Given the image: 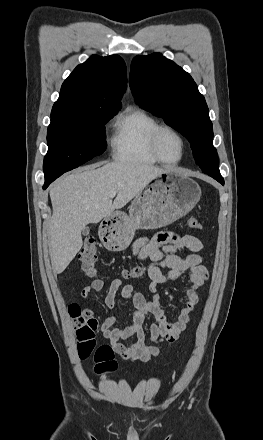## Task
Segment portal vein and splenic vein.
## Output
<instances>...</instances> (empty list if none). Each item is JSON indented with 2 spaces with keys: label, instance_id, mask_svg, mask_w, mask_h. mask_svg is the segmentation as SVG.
Wrapping results in <instances>:
<instances>
[{
  "label": "portal vein and splenic vein",
  "instance_id": "1",
  "mask_svg": "<svg viewBox=\"0 0 263 440\" xmlns=\"http://www.w3.org/2000/svg\"><path fill=\"white\" fill-rule=\"evenodd\" d=\"M116 194H117V193H116L115 191H114V192H111V193H109V197H110V198H114V197L116 196Z\"/></svg>",
  "mask_w": 263,
  "mask_h": 440
}]
</instances>
